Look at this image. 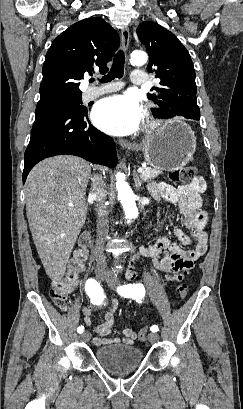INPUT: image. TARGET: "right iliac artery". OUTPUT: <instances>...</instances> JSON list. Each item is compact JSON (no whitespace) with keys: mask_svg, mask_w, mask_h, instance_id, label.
Listing matches in <instances>:
<instances>
[{"mask_svg":"<svg viewBox=\"0 0 243 409\" xmlns=\"http://www.w3.org/2000/svg\"><path fill=\"white\" fill-rule=\"evenodd\" d=\"M85 291L91 298L92 303L100 304L104 299L103 289L95 279H88L85 284ZM78 333H83L84 327L79 326L77 328Z\"/></svg>","mask_w":243,"mask_h":409,"instance_id":"82829eb1","label":"right iliac artery"}]
</instances>
